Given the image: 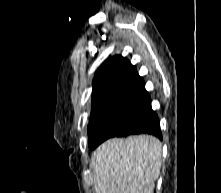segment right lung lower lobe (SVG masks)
<instances>
[{
  "label": "right lung lower lobe",
  "instance_id": "right-lung-lower-lobe-1",
  "mask_svg": "<svg viewBox=\"0 0 221 193\" xmlns=\"http://www.w3.org/2000/svg\"><path fill=\"white\" fill-rule=\"evenodd\" d=\"M144 133L154 135L160 140L162 139L159 119L154 111H152V113L143 122L118 137H126L128 135Z\"/></svg>",
  "mask_w": 221,
  "mask_h": 193
}]
</instances>
